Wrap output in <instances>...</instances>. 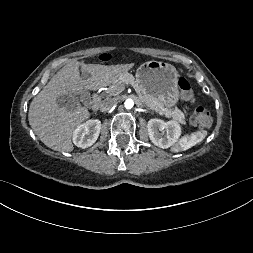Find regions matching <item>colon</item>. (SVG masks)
I'll list each match as a JSON object with an SVG mask.
<instances>
[{
	"instance_id": "5ec220e1",
	"label": "colon",
	"mask_w": 253,
	"mask_h": 253,
	"mask_svg": "<svg viewBox=\"0 0 253 253\" xmlns=\"http://www.w3.org/2000/svg\"><path fill=\"white\" fill-rule=\"evenodd\" d=\"M99 58L102 61H107L109 57L107 54H102L99 56ZM178 88L182 97L185 100L192 101L194 99V94L191 88V84L186 78L179 79ZM211 121H212L211 113L204 106L197 107L191 118L192 124L201 128L208 127L211 124Z\"/></svg>"
}]
</instances>
